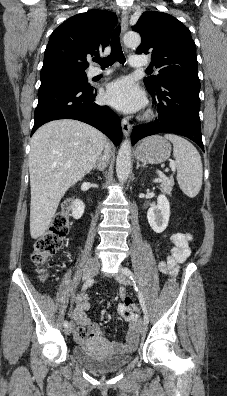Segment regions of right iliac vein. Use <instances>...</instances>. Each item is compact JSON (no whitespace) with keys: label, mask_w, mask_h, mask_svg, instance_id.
Returning <instances> with one entry per match:
<instances>
[{"label":"right iliac vein","mask_w":227,"mask_h":396,"mask_svg":"<svg viewBox=\"0 0 227 396\" xmlns=\"http://www.w3.org/2000/svg\"><path fill=\"white\" fill-rule=\"evenodd\" d=\"M98 271V262L96 260H91L86 269L83 272V279L84 280H90L92 277L96 275ZM74 325L73 323H70L66 328H65V334L70 335L73 331Z\"/></svg>","instance_id":"1"}]
</instances>
